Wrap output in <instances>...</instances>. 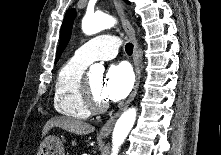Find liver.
<instances>
[{"instance_id": "1", "label": "liver", "mask_w": 221, "mask_h": 155, "mask_svg": "<svg viewBox=\"0 0 221 155\" xmlns=\"http://www.w3.org/2000/svg\"><path fill=\"white\" fill-rule=\"evenodd\" d=\"M53 127H59L77 135H86L94 132L95 127L91 124L69 117H53L49 119L42 130V137Z\"/></svg>"}]
</instances>
